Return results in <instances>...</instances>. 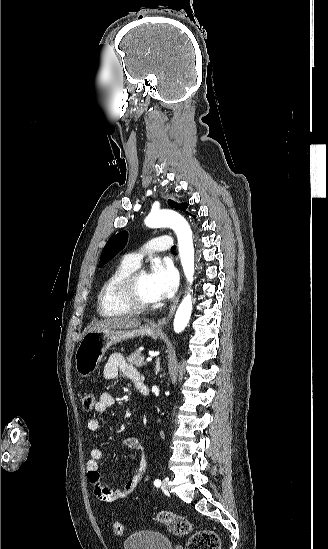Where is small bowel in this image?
Instances as JSON below:
<instances>
[{
  "label": "small bowel",
  "instance_id": "1",
  "mask_svg": "<svg viewBox=\"0 0 328 549\" xmlns=\"http://www.w3.org/2000/svg\"><path fill=\"white\" fill-rule=\"evenodd\" d=\"M119 374H123L131 380L139 376L137 369L128 363L121 353H113L108 357L103 367V376L106 380H114ZM114 402L115 398L111 393L103 392L100 394L94 409L97 413H104L113 406ZM87 428L91 432L98 431L100 429L99 420L96 418L89 419ZM120 444L140 454L136 470L122 488L113 489L102 481L99 472V460L102 458L101 449L97 447L93 448L90 451V458L86 464L88 479L94 487L96 496L106 503H113L129 497L140 484L146 469V449L144 442L140 437L135 435L128 436L122 439Z\"/></svg>",
  "mask_w": 328,
  "mask_h": 549
}]
</instances>
